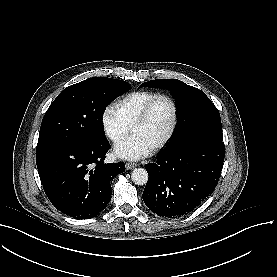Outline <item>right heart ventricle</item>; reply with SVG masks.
I'll list each match as a JSON object with an SVG mask.
<instances>
[{
  "instance_id": "1",
  "label": "right heart ventricle",
  "mask_w": 277,
  "mask_h": 277,
  "mask_svg": "<svg viewBox=\"0 0 277 277\" xmlns=\"http://www.w3.org/2000/svg\"><path fill=\"white\" fill-rule=\"evenodd\" d=\"M155 96L154 93L145 91L130 93L116 104V110L125 123L130 124L139 117L146 105Z\"/></svg>"
}]
</instances>
